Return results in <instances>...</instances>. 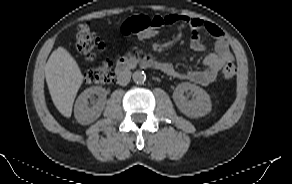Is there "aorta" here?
Wrapping results in <instances>:
<instances>
[{
	"label": "aorta",
	"mask_w": 292,
	"mask_h": 184,
	"mask_svg": "<svg viewBox=\"0 0 292 184\" xmlns=\"http://www.w3.org/2000/svg\"><path fill=\"white\" fill-rule=\"evenodd\" d=\"M132 79L135 83L142 84L146 80V74L144 73V71L137 70L133 73Z\"/></svg>",
	"instance_id": "762f6f07"
}]
</instances>
